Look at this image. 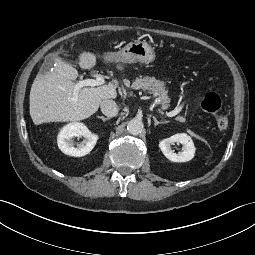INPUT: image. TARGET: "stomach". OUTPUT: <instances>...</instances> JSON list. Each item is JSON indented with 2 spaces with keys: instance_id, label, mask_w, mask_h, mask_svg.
Segmentation results:
<instances>
[{
  "instance_id": "stomach-1",
  "label": "stomach",
  "mask_w": 255,
  "mask_h": 255,
  "mask_svg": "<svg viewBox=\"0 0 255 255\" xmlns=\"http://www.w3.org/2000/svg\"><path fill=\"white\" fill-rule=\"evenodd\" d=\"M109 62L113 63H152L155 58L154 49L145 41L135 40L129 42L120 51L107 55Z\"/></svg>"
}]
</instances>
